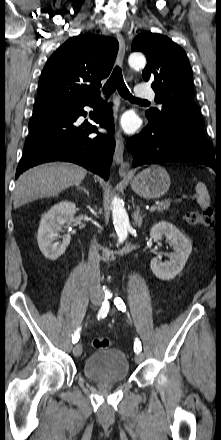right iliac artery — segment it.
Masks as SVG:
<instances>
[{
	"instance_id": "82829eb1",
	"label": "right iliac artery",
	"mask_w": 221,
	"mask_h": 440,
	"mask_svg": "<svg viewBox=\"0 0 221 440\" xmlns=\"http://www.w3.org/2000/svg\"><path fill=\"white\" fill-rule=\"evenodd\" d=\"M108 311H109V303H108L107 298H106V299L103 301L100 310L98 311L97 318L100 319V318H104V317H106ZM79 331H80V329H78V330L74 333V336L72 337V342H73V343H76V342L79 340V337H80V332H79Z\"/></svg>"
}]
</instances>
